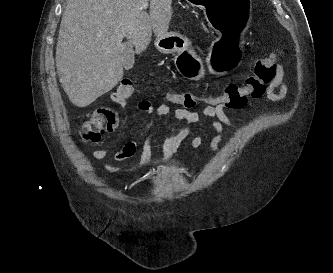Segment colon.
Returning a JSON list of instances; mask_svg holds the SVG:
<instances>
[{"label":"colon","mask_w":333,"mask_h":273,"mask_svg":"<svg viewBox=\"0 0 333 273\" xmlns=\"http://www.w3.org/2000/svg\"><path fill=\"white\" fill-rule=\"evenodd\" d=\"M278 61L276 54L271 52L257 59L254 70L242 84H229L221 94L207 95L190 91L168 93L169 102L186 109L196 106L202 108L222 107L226 109H239L246 105L249 98H259L265 93L276 72ZM135 91L134 81L124 79L118 87L117 93L124 97H131ZM118 123L117 114L105 107L91 112L79 129V136L86 142H98L106 131L112 130Z\"/></svg>","instance_id":"5ec220e1"}]
</instances>
